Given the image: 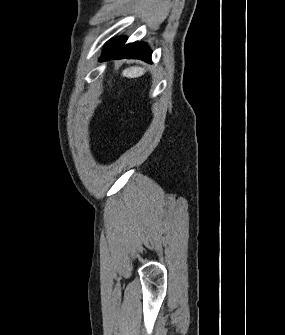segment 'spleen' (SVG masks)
I'll return each mask as SVG.
<instances>
[{
  "label": "spleen",
  "instance_id": "1",
  "mask_svg": "<svg viewBox=\"0 0 285 335\" xmlns=\"http://www.w3.org/2000/svg\"><path fill=\"white\" fill-rule=\"evenodd\" d=\"M142 74H144L143 68H130L127 72L129 78H138V76H142Z\"/></svg>",
  "mask_w": 285,
  "mask_h": 335
}]
</instances>
